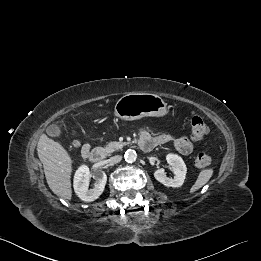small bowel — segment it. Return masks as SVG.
<instances>
[{
	"label": "small bowel",
	"instance_id": "1",
	"mask_svg": "<svg viewBox=\"0 0 261 261\" xmlns=\"http://www.w3.org/2000/svg\"><path fill=\"white\" fill-rule=\"evenodd\" d=\"M140 141L150 143L153 147L167 143L169 141L173 142L176 151L184 156L191 154L194 150L193 142L185 136L173 137L169 134H159L156 136L151 135L148 131L143 130L140 134ZM90 144L88 141L81 145V150H89Z\"/></svg>",
	"mask_w": 261,
	"mask_h": 261
}]
</instances>
